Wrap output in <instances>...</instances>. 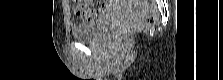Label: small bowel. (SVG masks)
I'll return each mask as SVG.
<instances>
[{"instance_id":"c3829d8e","label":"small bowel","mask_w":223,"mask_h":80,"mask_svg":"<svg viewBox=\"0 0 223 80\" xmlns=\"http://www.w3.org/2000/svg\"><path fill=\"white\" fill-rule=\"evenodd\" d=\"M115 3L112 1H104L101 2L97 7H93L91 1H86L83 4V7L74 4L73 11L80 17L88 20L93 21L98 19L101 15H103L107 10L112 8Z\"/></svg>"}]
</instances>
